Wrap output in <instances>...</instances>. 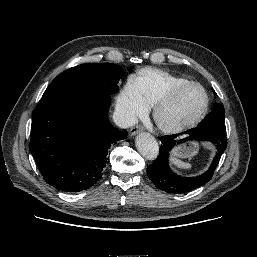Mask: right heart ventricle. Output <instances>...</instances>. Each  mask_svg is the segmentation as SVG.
<instances>
[{
  "label": "right heart ventricle",
  "mask_w": 257,
  "mask_h": 257,
  "mask_svg": "<svg viewBox=\"0 0 257 257\" xmlns=\"http://www.w3.org/2000/svg\"><path fill=\"white\" fill-rule=\"evenodd\" d=\"M134 81L149 107L155 106L173 87L190 82L187 78L155 68L140 70L135 76Z\"/></svg>",
  "instance_id": "1"
}]
</instances>
